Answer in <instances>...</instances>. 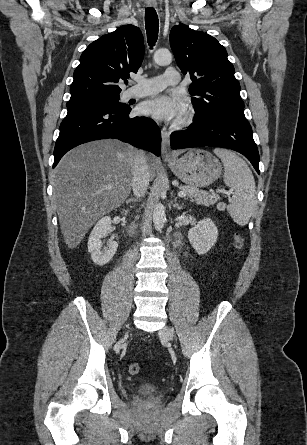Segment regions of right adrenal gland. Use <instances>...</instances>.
<instances>
[{
    "label": "right adrenal gland",
    "mask_w": 307,
    "mask_h": 445,
    "mask_svg": "<svg viewBox=\"0 0 307 445\" xmlns=\"http://www.w3.org/2000/svg\"><path fill=\"white\" fill-rule=\"evenodd\" d=\"M141 198H139V196H137V198H127L126 202L128 204V202H140Z\"/></svg>",
    "instance_id": "obj_1"
}]
</instances>
